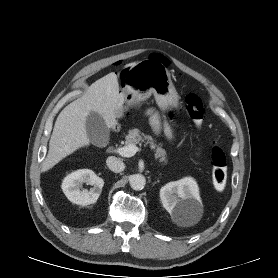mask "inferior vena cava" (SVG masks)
<instances>
[{
	"label": "inferior vena cava",
	"instance_id": "1",
	"mask_svg": "<svg viewBox=\"0 0 278 278\" xmlns=\"http://www.w3.org/2000/svg\"><path fill=\"white\" fill-rule=\"evenodd\" d=\"M106 163L108 168L115 173L122 172L125 168V164L123 163V161L114 156L108 157Z\"/></svg>",
	"mask_w": 278,
	"mask_h": 278
}]
</instances>
